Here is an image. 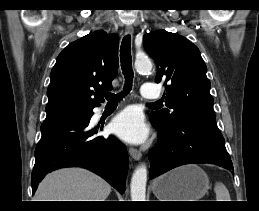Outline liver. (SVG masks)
<instances>
[{"label": "liver", "instance_id": "obj_1", "mask_svg": "<svg viewBox=\"0 0 259 211\" xmlns=\"http://www.w3.org/2000/svg\"><path fill=\"white\" fill-rule=\"evenodd\" d=\"M111 186L83 168H64L48 174L39 184L35 201H106Z\"/></svg>", "mask_w": 259, "mask_h": 211}]
</instances>
